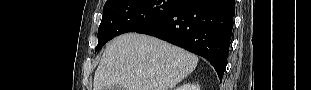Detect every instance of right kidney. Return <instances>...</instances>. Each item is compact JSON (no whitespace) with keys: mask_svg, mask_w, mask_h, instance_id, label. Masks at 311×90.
Masks as SVG:
<instances>
[{"mask_svg":"<svg viewBox=\"0 0 311 90\" xmlns=\"http://www.w3.org/2000/svg\"><path fill=\"white\" fill-rule=\"evenodd\" d=\"M176 90H200V86L188 83L176 88Z\"/></svg>","mask_w":311,"mask_h":90,"instance_id":"obj_1","label":"right kidney"}]
</instances>
